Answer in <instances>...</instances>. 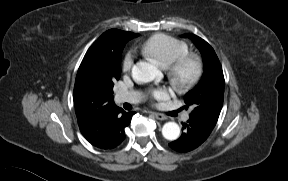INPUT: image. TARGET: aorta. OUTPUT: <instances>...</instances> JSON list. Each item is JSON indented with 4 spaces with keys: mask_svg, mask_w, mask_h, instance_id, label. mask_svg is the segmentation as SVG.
<instances>
[{
    "mask_svg": "<svg viewBox=\"0 0 288 181\" xmlns=\"http://www.w3.org/2000/svg\"><path fill=\"white\" fill-rule=\"evenodd\" d=\"M160 75L159 70L153 64L148 62H137L132 68V77L139 83L153 81ZM162 135L165 139L173 141L180 135V127L176 122H167L163 125Z\"/></svg>",
    "mask_w": 288,
    "mask_h": 181,
    "instance_id": "1",
    "label": "aorta"
}]
</instances>
